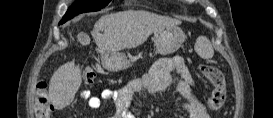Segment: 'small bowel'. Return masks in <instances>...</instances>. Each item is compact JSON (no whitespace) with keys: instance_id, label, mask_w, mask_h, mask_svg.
<instances>
[{"instance_id":"small-bowel-1","label":"small bowel","mask_w":273,"mask_h":118,"mask_svg":"<svg viewBox=\"0 0 273 118\" xmlns=\"http://www.w3.org/2000/svg\"><path fill=\"white\" fill-rule=\"evenodd\" d=\"M174 83L188 103L179 107L188 118H208L205 104L194 93L195 83L185 60L180 56L158 59L141 80L133 81L119 90L105 89L99 95L89 91L81 92L91 109H99L104 102H113L114 118H133L130 107L133 92L158 95Z\"/></svg>"}]
</instances>
